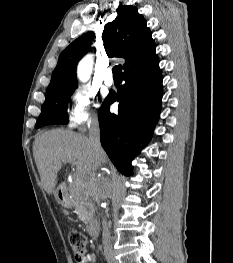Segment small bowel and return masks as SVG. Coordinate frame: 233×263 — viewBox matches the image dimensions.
Segmentation results:
<instances>
[{"label": "small bowel", "mask_w": 233, "mask_h": 263, "mask_svg": "<svg viewBox=\"0 0 233 263\" xmlns=\"http://www.w3.org/2000/svg\"><path fill=\"white\" fill-rule=\"evenodd\" d=\"M77 263H94V256L92 254H86L81 260Z\"/></svg>", "instance_id": "1"}]
</instances>
